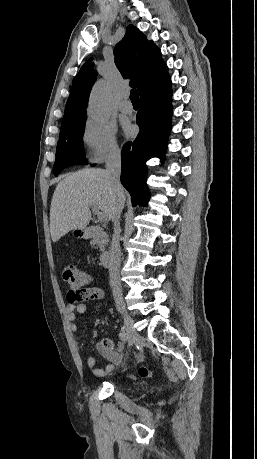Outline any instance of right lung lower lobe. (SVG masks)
Segmentation results:
<instances>
[{"label":"right lung lower lobe","mask_w":257,"mask_h":459,"mask_svg":"<svg viewBox=\"0 0 257 459\" xmlns=\"http://www.w3.org/2000/svg\"><path fill=\"white\" fill-rule=\"evenodd\" d=\"M171 96L168 74L140 93L136 117L140 132L135 141L122 149L121 183L129 191L133 206L146 205L149 199L146 161L154 156L164 159L171 129Z\"/></svg>","instance_id":"right-lung-lower-lobe-1"}]
</instances>
